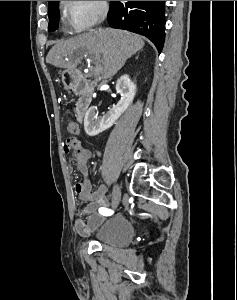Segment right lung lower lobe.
<instances>
[{"mask_svg": "<svg viewBox=\"0 0 237 300\" xmlns=\"http://www.w3.org/2000/svg\"><path fill=\"white\" fill-rule=\"evenodd\" d=\"M108 22L148 37L161 52L165 39V1H111Z\"/></svg>", "mask_w": 237, "mask_h": 300, "instance_id": "98d812e1", "label": "right lung lower lobe"}]
</instances>
